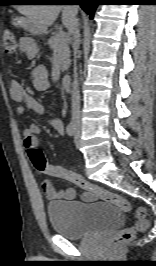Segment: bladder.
I'll use <instances>...</instances> for the list:
<instances>
[{
    "label": "bladder",
    "mask_w": 156,
    "mask_h": 266,
    "mask_svg": "<svg viewBox=\"0 0 156 266\" xmlns=\"http://www.w3.org/2000/svg\"><path fill=\"white\" fill-rule=\"evenodd\" d=\"M47 215L53 230L71 240L107 231L123 221L120 208L104 202L86 205L78 201H55L48 204Z\"/></svg>",
    "instance_id": "obj_1"
}]
</instances>
